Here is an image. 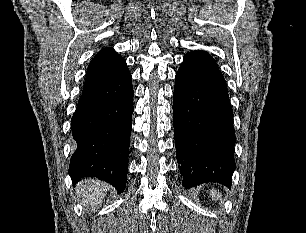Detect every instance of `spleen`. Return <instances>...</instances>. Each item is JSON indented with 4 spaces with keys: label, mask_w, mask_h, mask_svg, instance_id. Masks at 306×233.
<instances>
[{
    "label": "spleen",
    "mask_w": 306,
    "mask_h": 233,
    "mask_svg": "<svg viewBox=\"0 0 306 233\" xmlns=\"http://www.w3.org/2000/svg\"><path fill=\"white\" fill-rule=\"evenodd\" d=\"M210 197H212V199H215L216 197L221 198V195L219 193H217L216 190H211L210 191Z\"/></svg>",
    "instance_id": "obj_1"
}]
</instances>
